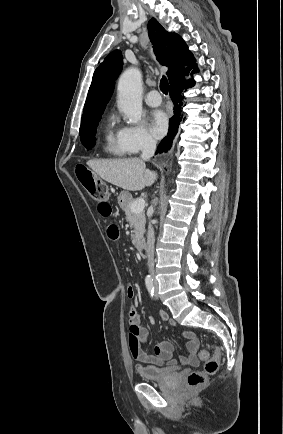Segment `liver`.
I'll return each instance as SVG.
<instances>
[{"mask_svg":"<svg viewBox=\"0 0 283 434\" xmlns=\"http://www.w3.org/2000/svg\"><path fill=\"white\" fill-rule=\"evenodd\" d=\"M86 164L103 180L127 191H140L157 180V173L146 169L140 158L97 159Z\"/></svg>","mask_w":283,"mask_h":434,"instance_id":"liver-1","label":"liver"}]
</instances>
